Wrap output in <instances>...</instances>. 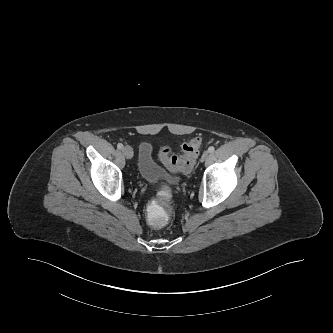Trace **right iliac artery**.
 Masks as SVG:
<instances>
[{"label": "right iliac artery", "mask_w": 333, "mask_h": 333, "mask_svg": "<svg viewBox=\"0 0 333 333\" xmlns=\"http://www.w3.org/2000/svg\"><path fill=\"white\" fill-rule=\"evenodd\" d=\"M117 148H118V149H123V144H122V143H118V144H117Z\"/></svg>", "instance_id": "right-iliac-artery-1"}]
</instances>
